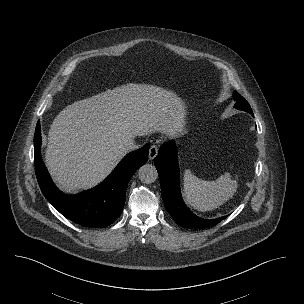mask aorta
<instances>
[{"label":"aorta","mask_w":304,"mask_h":304,"mask_svg":"<svg viewBox=\"0 0 304 304\" xmlns=\"http://www.w3.org/2000/svg\"><path fill=\"white\" fill-rule=\"evenodd\" d=\"M138 176L142 183L150 184L157 180L158 173L154 165L145 164L139 168Z\"/></svg>","instance_id":"aorta-1"}]
</instances>
